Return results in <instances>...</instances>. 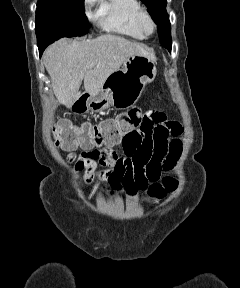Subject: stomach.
I'll use <instances>...</instances> for the list:
<instances>
[{
  "label": "stomach",
  "mask_w": 240,
  "mask_h": 288,
  "mask_svg": "<svg viewBox=\"0 0 240 288\" xmlns=\"http://www.w3.org/2000/svg\"><path fill=\"white\" fill-rule=\"evenodd\" d=\"M156 59L144 55L128 57L121 67L103 84L100 93L88 101L93 112L109 107L125 109L133 106L140 98L147 83L156 77Z\"/></svg>",
  "instance_id": "1"
}]
</instances>
